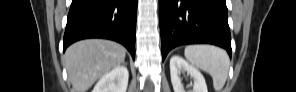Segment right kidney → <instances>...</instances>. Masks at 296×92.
Returning <instances> with one entry per match:
<instances>
[{
	"mask_svg": "<svg viewBox=\"0 0 296 92\" xmlns=\"http://www.w3.org/2000/svg\"><path fill=\"white\" fill-rule=\"evenodd\" d=\"M128 78L127 68L124 65L117 66L100 78L92 92H126Z\"/></svg>",
	"mask_w": 296,
	"mask_h": 92,
	"instance_id": "1",
	"label": "right kidney"
}]
</instances>
